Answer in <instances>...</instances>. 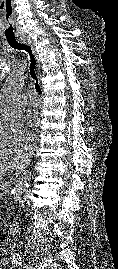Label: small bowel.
Instances as JSON below:
<instances>
[{
	"label": "small bowel",
	"instance_id": "obj_1",
	"mask_svg": "<svg viewBox=\"0 0 118 269\" xmlns=\"http://www.w3.org/2000/svg\"><path fill=\"white\" fill-rule=\"evenodd\" d=\"M6 264H7V260H6V259H3V260H2V265L5 266ZM0 269H1V268H0Z\"/></svg>",
	"mask_w": 118,
	"mask_h": 269
}]
</instances>
